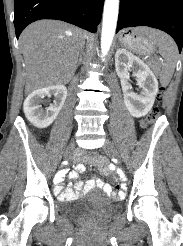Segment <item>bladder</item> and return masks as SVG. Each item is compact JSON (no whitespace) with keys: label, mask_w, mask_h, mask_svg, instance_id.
Instances as JSON below:
<instances>
[{"label":"bladder","mask_w":183,"mask_h":246,"mask_svg":"<svg viewBox=\"0 0 183 246\" xmlns=\"http://www.w3.org/2000/svg\"><path fill=\"white\" fill-rule=\"evenodd\" d=\"M120 210V204L93 192L85 198L74 200L61 207V213L71 219L78 220L91 215L111 216Z\"/></svg>","instance_id":"bladder-1"}]
</instances>
